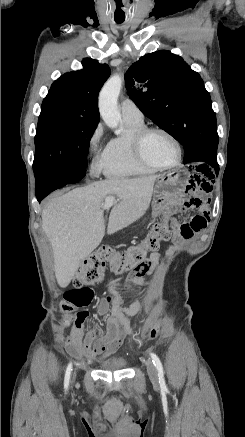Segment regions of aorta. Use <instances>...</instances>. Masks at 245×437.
<instances>
[{"label": "aorta", "instance_id": "aorta-1", "mask_svg": "<svg viewBox=\"0 0 245 437\" xmlns=\"http://www.w3.org/2000/svg\"><path fill=\"white\" fill-rule=\"evenodd\" d=\"M121 87L122 78L119 75H114L105 83L99 94L101 117L105 124L112 129L117 128L121 120V115L117 107Z\"/></svg>", "mask_w": 245, "mask_h": 437}]
</instances>
